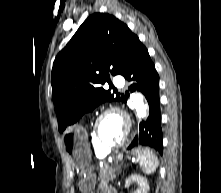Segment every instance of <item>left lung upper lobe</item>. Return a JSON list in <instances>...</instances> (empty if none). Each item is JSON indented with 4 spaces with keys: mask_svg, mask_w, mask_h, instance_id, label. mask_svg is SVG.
<instances>
[{
    "mask_svg": "<svg viewBox=\"0 0 221 193\" xmlns=\"http://www.w3.org/2000/svg\"><path fill=\"white\" fill-rule=\"evenodd\" d=\"M140 42L126 24L106 13L89 16L57 55L52 69V97L59 131L105 101L125 102L103 85L122 74Z\"/></svg>",
    "mask_w": 221,
    "mask_h": 193,
    "instance_id": "obj_1",
    "label": "left lung upper lobe"
}]
</instances>
